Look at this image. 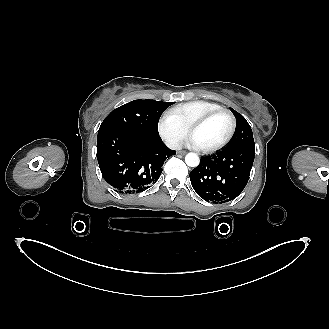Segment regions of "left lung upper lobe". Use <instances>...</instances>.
Wrapping results in <instances>:
<instances>
[{"instance_id":"1","label":"left lung upper lobe","mask_w":329,"mask_h":329,"mask_svg":"<svg viewBox=\"0 0 329 329\" xmlns=\"http://www.w3.org/2000/svg\"><path fill=\"white\" fill-rule=\"evenodd\" d=\"M236 118V130L231 142L225 149H230L237 146L255 147L252 135V129L246 119L234 109L230 108Z\"/></svg>"}]
</instances>
